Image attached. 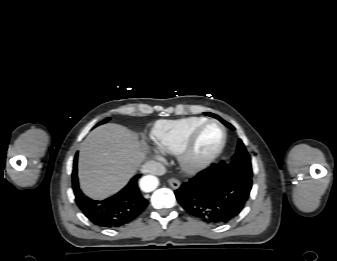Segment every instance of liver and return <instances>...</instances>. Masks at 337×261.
<instances>
[{
  "label": "liver",
  "mask_w": 337,
  "mask_h": 261,
  "mask_svg": "<svg viewBox=\"0 0 337 261\" xmlns=\"http://www.w3.org/2000/svg\"><path fill=\"white\" fill-rule=\"evenodd\" d=\"M145 157L138 136L118 124L94 129L79 147V179L91 198L102 199L119 191Z\"/></svg>",
  "instance_id": "6515ba94"
}]
</instances>
